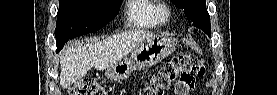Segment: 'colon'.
I'll return each mask as SVG.
<instances>
[{
  "label": "colon",
  "mask_w": 277,
  "mask_h": 95,
  "mask_svg": "<svg viewBox=\"0 0 277 95\" xmlns=\"http://www.w3.org/2000/svg\"><path fill=\"white\" fill-rule=\"evenodd\" d=\"M205 74L203 60L193 54L184 53L167 61L146 83L141 95H164L170 86L182 78H201ZM107 94L103 85L93 79H83L74 83L69 95H104Z\"/></svg>",
  "instance_id": "obj_1"
}]
</instances>
